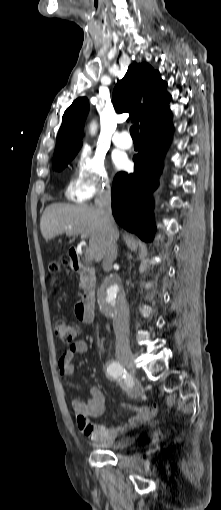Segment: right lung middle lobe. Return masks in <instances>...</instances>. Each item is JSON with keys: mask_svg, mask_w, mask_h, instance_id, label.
Masks as SVG:
<instances>
[{"mask_svg": "<svg viewBox=\"0 0 221 510\" xmlns=\"http://www.w3.org/2000/svg\"><path fill=\"white\" fill-rule=\"evenodd\" d=\"M79 149H80V147H77V148L71 149L57 157H54L53 158V169L60 171L64 167H66L71 162V160L76 156Z\"/></svg>", "mask_w": 221, "mask_h": 510, "instance_id": "obj_1", "label": "right lung middle lobe"}]
</instances>
